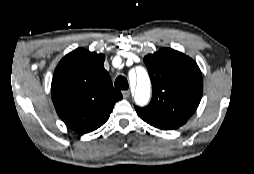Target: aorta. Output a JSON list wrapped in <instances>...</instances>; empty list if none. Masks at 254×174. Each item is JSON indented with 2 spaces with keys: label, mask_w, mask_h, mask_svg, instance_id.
Returning a JSON list of instances; mask_svg holds the SVG:
<instances>
[{
  "label": "aorta",
  "mask_w": 254,
  "mask_h": 174,
  "mask_svg": "<svg viewBox=\"0 0 254 174\" xmlns=\"http://www.w3.org/2000/svg\"><path fill=\"white\" fill-rule=\"evenodd\" d=\"M137 83L135 90V102L139 106H145L150 99L151 82L146 70L142 67L136 69Z\"/></svg>",
  "instance_id": "obj_1"
}]
</instances>
